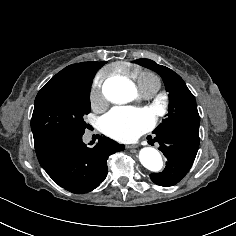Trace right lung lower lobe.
<instances>
[{
    "label": "right lung lower lobe",
    "instance_id": "obj_1",
    "mask_svg": "<svg viewBox=\"0 0 236 236\" xmlns=\"http://www.w3.org/2000/svg\"><path fill=\"white\" fill-rule=\"evenodd\" d=\"M83 134L53 133L34 139L43 169L59 186L76 194L95 189L106 178L108 157L124 150L123 144L105 136L89 148Z\"/></svg>",
    "mask_w": 236,
    "mask_h": 236
}]
</instances>
